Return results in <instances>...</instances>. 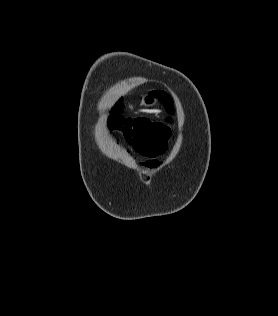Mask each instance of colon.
I'll list each match as a JSON object with an SVG mask.
<instances>
[{"mask_svg":"<svg viewBox=\"0 0 278 316\" xmlns=\"http://www.w3.org/2000/svg\"><path fill=\"white\" fill-rule=\"evenodd\" d=\"M110 123L113 130L120 131L127 143L144 156H160L167 150L171 133L162 123L144 118L133 119L121 114H114Z\"/></svg>","mask_w":278,"mask_h":316,"instance_id":"obj_1","label":"colon"}]
</instances>
